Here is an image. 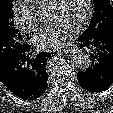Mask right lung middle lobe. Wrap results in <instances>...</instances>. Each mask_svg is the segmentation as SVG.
<instances>
[{
  "instance_id": "dd1d6c3e",
  "label": "right lung middle lobe",
  "mask_w": 113,
  "mask_h": 113,
  "mask_svg": "<svg viewBox=\"0 0 113 113\" xmlns=\"http://www.w3.org/2000/svg\"><path fill=\"white\" fill-rule=\"evenodd\" d=\"M12 1L0 0V69L26 45L13 22Z\"/></svg>"
}]
</instances>
